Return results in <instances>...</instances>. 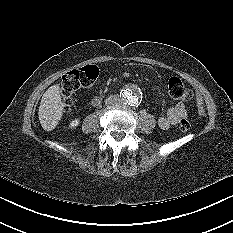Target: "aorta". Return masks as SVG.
I'll return each instance as SVG.
<instances>
[{"instance_id":"aorta-1","label":"aorta","mask_w":233,"mask_h":233,"mask_svg":"<svg viewBox=\"0 0 233 233\" xmlns=\"http://www.w3.org/2000/svg\"><path fill=\"white\" fill-rule=\"evenodd\" d=\"M141 90L137 85H130L122 91V100L129 106L138 105L141 99Z\"/></svg>"}]
</instances>
